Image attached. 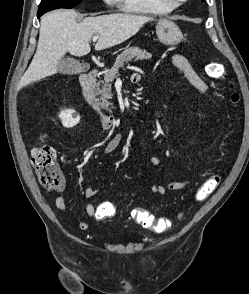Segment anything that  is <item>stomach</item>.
<instances>
[{
	"mask_svg": "<svg viewBox=\"0 0 249 294\" xmlns=\"http://www.w3.org/2000/svg\"><path fill=\"white\" fill-rule=\"evenodd\" d=\"M156 34L159 41L167 46H174L183 40L179 27L168 19H159L156 24Z\"/></svg>",
	"mask_w": 249,
	"mask_h": 294,
	"instance_id": "0dacf381",
	"label": "stomach"
}]
</instances>
